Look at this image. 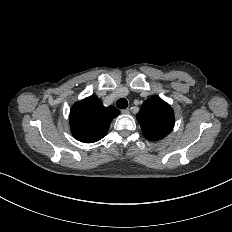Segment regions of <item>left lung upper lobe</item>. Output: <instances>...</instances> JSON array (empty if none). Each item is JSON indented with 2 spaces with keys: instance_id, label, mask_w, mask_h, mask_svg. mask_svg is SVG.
I'll return each instance as SVG.
<instances>
[{
  "instance_id": "obj_1",
  "label": "left lung upper lobe",
  "mask_w": 232,
  "mask_h": 232,
  "mask_svg": "<svg viewBox=\"0 0 232 232\" xmlns=\"http://www.w3.org/2000/svg\"><path fill=\"white\" fill-rule=\"evenodd\" d=\"M136 117L144 136L151 141L166 137L175 121L171 106L156 95L143 103Z\"/></svg>"
}]
</instances>
